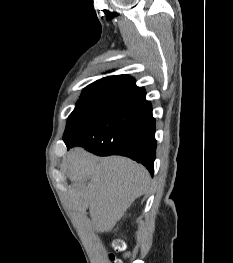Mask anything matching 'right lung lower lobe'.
Returning <instances> with one entry per match:
<instances>
[{"mask_svg":"<svg viewBox=\"0 0 233 263\" xmlns=\"http://www.w3.org/2000/svg\"><path fill=\"white\" fill-rule=\"evenodd\" d=\"M145 90L136 87L116 98L107 112L67 148L83 146L96 155H123L143 164L153 175L156 153L155 119Z\"/></svg>","mask_w":233,"mask_h":263,"instance_id":"obj_1","label":"right lung lower lobe"}]
</instances>
